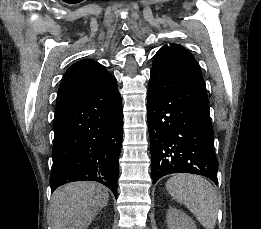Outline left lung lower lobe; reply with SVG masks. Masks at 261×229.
Returning a JSON list of instances; mask_svg holds the SVG:
<instances>
[{"label":"left lung lower lobe","instance_id":"0a47b994","mask_svg":"<svg viewBox=\"0 0 261 229\" xmlns=\"http://www.w3.org/2000/svg\"><path fill=\"white\" fill-rule=\"evenodd\" d=\"M147 113L154 183L172 173H192L217 184L218 161L203 77L153 66Z\"/></svg>","mask_w":261,"mask_h":229}]
</instances>
